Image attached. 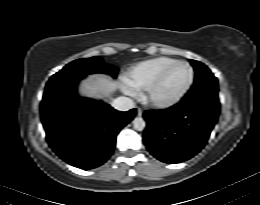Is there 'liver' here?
Returning <instances> with one entry per match:
<instances>
[{
    "mask_svg": "<svg viewBox=\"0 0 260 205\" xmlns=\"http://www.w3.org/2000/svg\"><path fill=\"white\" fill-rule=\"evenodd\" d=\"M118 87L119 85L116 81L103 75H94L80 83L78 96L80 98L105 99L110 97Z\"/></svg>",
    "mask_w": 260,
    "mask_h": 205,
    "instance_id": "obj_1",
    "label": "liver"
}]
</instances>
